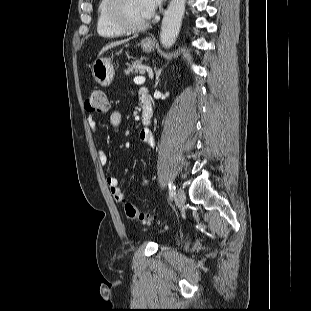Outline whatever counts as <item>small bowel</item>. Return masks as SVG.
Masks as SVG:
<instances>
[{"instance_id":"small-bowel-1","label":"small bowel","mask_w":311,"mask_h":311,"mask_svg":"<svg viewBox=\"0 0 311 311\" xmlns=\"http://www.w3.org/2000/svg\"><path fill=\"white\" fill-rule=\"evenodd\" d=\"M148 98H149L148 91L146 89H142L140 91L141 106H142V100L148 99ZM121 122H122V114L118 110H114L110 115V124L112 125V127L114 129H118L119 126L121 125ZM87 123H88V126H89L90 130L92 131V133L97 134V126H96V122H95L93 116L90 115L87 117ZM139 139L145 145H149V146L155 145V138H154V135L150 129H147V128L142 129L139 132ZM98 159H99V162L102 166L107 165L108 156L104 151H102V150L99 151ZM106 184L108 186V189H109L113 199L117 202H123L125 199V196L119 187L118 179L116 177L109 176L106 178ZM142 184L146 185L147 181L143 180Z\"/></svg>"}]
</instances>
